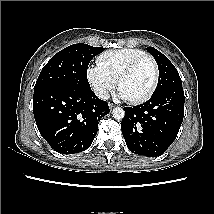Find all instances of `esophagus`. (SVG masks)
<instances>
[{"mask_svg": "<svg viewBox=\"0 0 214 214\" xmlns=\"http://www.w3.org/2000/svg\"><path fill=\"white\" fill-rule=\"evenodd\" d=\"M114 107H115V105H114V104L109 103V108H110V109H112V108H114Z\"/></svg>", "mask_w": 214, "mask_h": 214, "instance_id": "esophagus-1", "label": "esophagus"}]
</instances>
